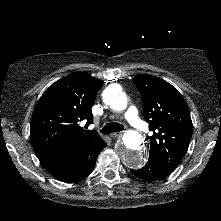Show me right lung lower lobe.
Segmentation results:
<instances>
[{"mask_svg": "<svg viewBox=\"0 0 221 221\" xmlns=\"http://www.w3.org/2000/svg\"><path fill=\"white\" fill-rule=\"evenodd\" d=\"M105 147L106 143L101 138L75 152L40 161L55 178L75 183L85 179L93 171L98 154Z\"/></svg>", "mask_w": 221, "mask_h": 221, "instance_id": "98d812e1", "label": "right lung lower lobe"}]
</instances>
